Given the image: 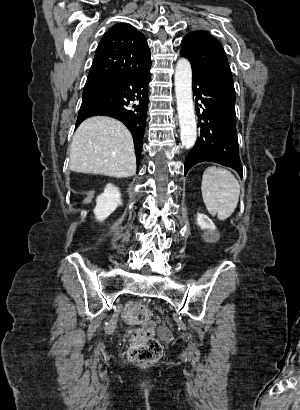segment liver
<instances>
[{
	"instance_id": "liver-1",
	"label": "liver",
	"mask_w": 300,
	"mask_h": 410,
	"mask_svg": "<svg viewBox=\"0 0 300 410\" xmlns=\"http://www.w3.org/2000/svg\"><path fill=\"white\" fill-rule=\"evenodd\" d=\"M69 168L80 173L124 178L136 173L133 138L120 121L94 116L77 128L70 147Z\"/></svg>"
}]
</instances>
